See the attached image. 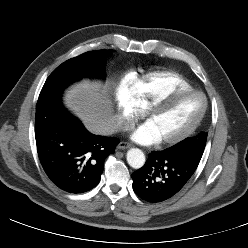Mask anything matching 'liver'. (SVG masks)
<instances>
[{
  "instance_id": "6515ba94",
  "label": "liver",
  "mask_w": 248,
  "mask_h": 248,
  "mask_svg": "<svg viewBox=\"0 0 248 248\" xmlns=\"http://www.w3.org/2000/svg\"><path fill=\"white\" fill-rule=\"evenodd\" d=\"M107 92L108 83L103 86L100 82L83 80L69 88L63 99L90 132L109 135L114 116Z\"/></svg>"
}]
</instances>
